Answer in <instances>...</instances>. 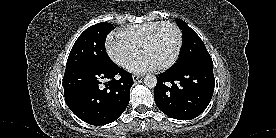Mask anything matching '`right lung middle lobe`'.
<instances>
[{
    "instance_id": "right-lung-middle-lobe-1",
    "label": "right lung middle lobe",
    "mask_w": 276,
    "mask_h": 138,
    "mask_svg": "<svg viewBox=\"0 0 276 138\" xmlns=\"http://www.w3.org/2000/svg\"><path fill=\"white\" fill-rule=\"evenodd\" d=\"M113 25L107 22L95 24L86 29L74 43L66 68L81 64L108 66L113 62L105 50V40Z\"/></svg>"
}]
</instances>
